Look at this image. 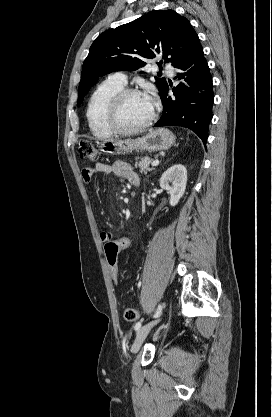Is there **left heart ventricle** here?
Instances as JSON below:
<instances>
[{
  "label": "left heart ventricle",
  "mask_w": 272,
  "mask_h": 417,
  "mask_svg": "<svg viewBox=\"0 0 272 417\" xmlns=\"http://www.w3.org/2000/svg\"><path fill=\"white\" fill-rule=\"evenodd\" d=\"M152 112L153 109L145 96H130L122 104L119 121L122 126L127 128L137 127L146 122Z\"/></svg>",
  "instance_id": "1"
}]
</instances>
